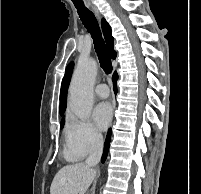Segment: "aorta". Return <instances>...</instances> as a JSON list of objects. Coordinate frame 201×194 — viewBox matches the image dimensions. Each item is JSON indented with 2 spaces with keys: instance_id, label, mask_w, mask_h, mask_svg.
<instances>
[{
  "instance_id": "obj_1",
  "label": "aorta",
  "mask_w": 201,
  "mask_h": 194,
  "mask_svg": "<svg viewBox=\"0 0 201 194\" xmlns=\"http://www.w3.org/2000/svg\"><path fill=\"white\" fill-rule=\"evenodd\" d=\"M97 62L79 60L70 85V110L81 119L89 117L93 107V88L97 75Z\"/></svg>"
}]
</instances>
